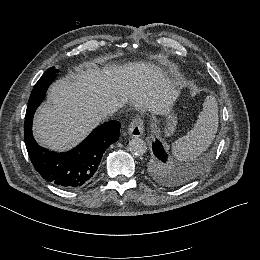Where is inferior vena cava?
<instances>
[{"label": "inferior vena cava", "mask_w": 260, "mask_h": 260, "mask_svg": "<svg viewBox=\"0 0 260 260\" xmlns=\"http://www.w3.org/2000/svg\"><path fill=\"white\" fill-rule=\"evenodd\" d=\"M124 100H120L118 98H113L106 102L104 114L111 115L118 111V109L124 106Z\"/></svg>", "instance_id": "1"}]
</instances>
